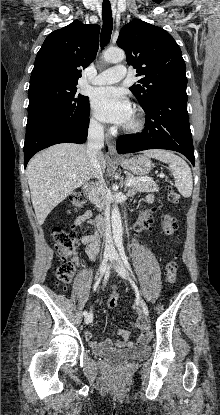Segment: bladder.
<instances>
[{
    "label": "bladder",
    "instance_id": "31cf9c89",
    "mask_svg": "<svg viewBox=\"0 0 220 415\" xmlns=\"http://www.w3.org/2000/svg\"><path fill=\"white\" fill-rule=\"evenodd\" d=\"M150 352L149 347L139 346L125 350L117 349H95V353L104 360L116 364H126L132 361L141 360L148 356Z\"/></svg>",
    "mask_w": 220,
    "mask_h": 415
}]
</instances>
